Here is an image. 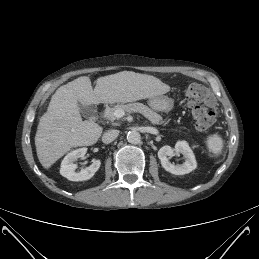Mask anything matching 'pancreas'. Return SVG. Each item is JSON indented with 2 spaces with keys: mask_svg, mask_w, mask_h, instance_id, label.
<instances>
[{
  "mask_svg": "<svg viewBox=\"0 0 259 259\" xmlns=\"http://www.w3.org/2000/svg\"><path fill=\"white\" fill-rule=\"evenodd\" d=\"M116 110H123L125 112H138L141 113L144 117H146L152 124H159L162 120V117L147 107L142 103H129V104H120L116 105L112 108L106 110L105 115L110 121H114L116 117L114 116V112Z\"/></svg>",
  "mask_w": 259,
  "mask_h": 259,
  "instance_id": "obj_1",
  "label": "pancreas"
}]
</instances>
